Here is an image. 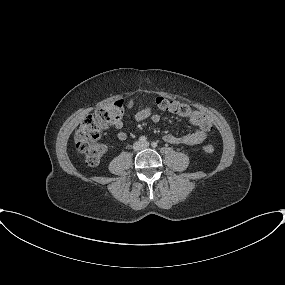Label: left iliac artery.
<instances>
[{
	"instance_id": "obj_1",
	"label": "left iliac artery",
	"mask_w": 285,
	"mask_h": 285,
	"mask_svg": "<svg viewBox=\"0 0 285 285\" xmlns=\"http://www.w3.org/2000/svg\"><path fill=\"white\" fill-rule=\"evenodd\" d=\"M151 145H152V147H154V148L157 147V143H156V142H152Z\"/></svg>"
}]
</instances>
